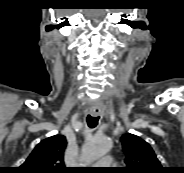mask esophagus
<instances>
[{
  "label": "esophagus",
  "instance_id": "esophagus-1",
  "mask_svg": "<svg viewBox=\"0 0 184 173\" xmlns=\"http://www.w3.org/2000/svg\"><path fill=\"white\" fill-rule=\"evenodd\" d=\"M90 114L93 116H97L101 114V110L98 107H93L90 109Z\"/></svg>",
  "mask_w": 184,
  "mask_h": 173
}]
</instances>
